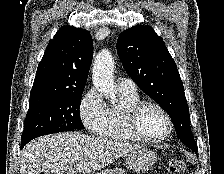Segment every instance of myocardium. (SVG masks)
I'll list each match as a JSON object with an SVG mask.
<instances>
[{"instance_id": "1", "label": "myocardium", "mask_w": 224, "mask_h": 174, "mask_svg": "<svg viewBox=\"0 0 224 174\" xmlns=\"http://www.w3.org/2000/svg\"><path fill=\"white\" fill-rule=\"evenodd\" d=\"M154 107L156 108L166 119L167 122V131L166 133L159 138H150L145 136L139 128V116L141 111L145 107ZM124 121L128 131L139 141L146 143H161L169 138L173 130V123L168 112L157 102L150 100H139L130 107H128L124 114Z\"/></svg>"}]
</instances>
